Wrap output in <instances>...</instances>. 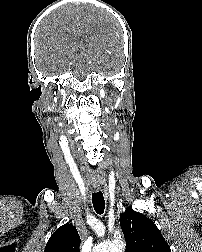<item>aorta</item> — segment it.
I'll list each match as a JSON object with an SVG mask.
<instances>
[{"label": "aorta", "mask_w": 202, "mask_h": 252, "mask_svg": "<svg viewBox=\"0 0 202 252\" xmlns=\"http://www.w3.org/2000/svg\"><path fill=\"white\" fill-rule=\"evenodd\" d=\"M125 242L122 240H115L109 243L100 244L95 247L94 252H123Z\"/></svg>", "instance_id": "762f6f07"}]
</instances>
